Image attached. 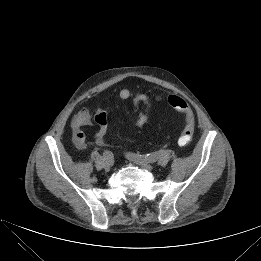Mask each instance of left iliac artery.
I'll list each match as a JSON object with an SVG mask.
<instances>
[{
  "label": "left iliac artery",
  "mask_w": 261,
  "mask_h": 261,
  "mask_svg": "<svg viewBox=\"0 0 261 261\" xmlns=\"http://www.w3.org/2000/svg\"><path fill=\"white\" fill-rule=\"evenodd\" d=\"M140 156H142L145 160H147L149 162H155L159 158V153L154 152V153L140 155Z\"/></svg>",
  "instance_id": "left-iliac-artery-1"
}]
</instances>
